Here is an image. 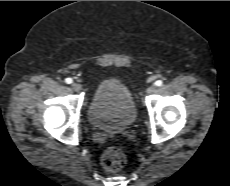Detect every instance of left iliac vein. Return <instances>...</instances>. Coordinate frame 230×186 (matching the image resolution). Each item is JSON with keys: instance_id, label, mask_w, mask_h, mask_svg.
I'll return each mask as SVG.
<instances>
[{"instance_id": "4c4485c4", "label": "left iliac vein", "mask_w": 230, "mask_h": 186, "mask_svg": "<svg viewBox=\"0 0 230 186\" xmlns=\"http://www.w3.org/2000/svg\"><path fill=\"white\" fill-rule=\"evenodd\" d=\"M155 89H156V86H155V85H150V86L147 88L146 92H147L148 94H151V93H153V92L155 91Z\"/></svg>"}]
</instances>
